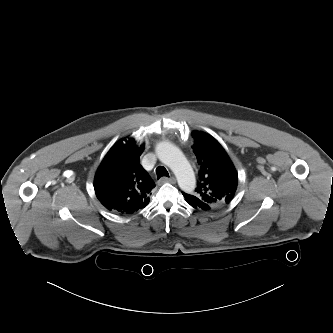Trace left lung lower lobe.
Segmentation results:
<instances>
[{
    "instance_id": "obj_1",
    "label": "left lung lower lobe",
    "mask_w": 333,
    "mask_h": 333,
    "mask_svg": "<svg viewBox=\"0 0 333 333\" xmlns=\"http://www.w3.org/2000/svg\"><path fill=\"white\" fill-rule=\"evenodd\" d=\"M184 197H185L187 203L195 209H202V210H209L210 209V207L207 204L203 203V202L192 201L191 199L187 198L185 195H184Z\"/></svg>"
}]
</instances>
